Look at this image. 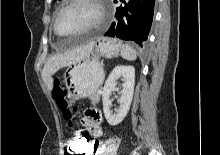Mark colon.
<instances>
[{
  "label": "colon",
  "instance_id": "1",
  "mask_svg": "<svg viewBox=\"0 0 220 155\" xmlns=\"http://www.w3.org/2000/svg\"><path fill=\"white\" fill-rule=\"evenodd\" d=\"M53 97L58 107L63 111L65 119L69 122V126H72L75 108L70 107L67 91L61 86L59 81L55 82ZM77 128L78 130H84L85 127L84 125H78ZM92 145V142H89L88 135H75V139H70L67 146H64V151H66V155H90V147Z\"/></svg>",
  "mask_w": 220,
  "mask_h": 155
}]
</instances>
